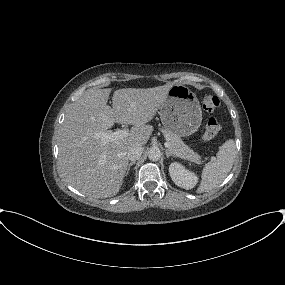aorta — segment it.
Segmentation results:
<instances>
[{
  "label": "aorta",
  "mask_w": 285,
  "mask_h": 285,
  "mask_svg": "<svg viewBox=\"0 0 285 285\" xmlns=\"http://www.w3.org/2000/svg\"><path fill=\"white\" fill-rule=\"evenodd\" d=\"M148 158L151 161H158L161 158V151L159 148H151L148 151Z\"/></svg>",
  "instance_id": "762f6f07"
}]
</instances>
